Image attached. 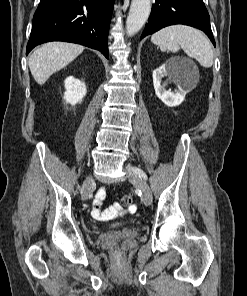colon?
I'll use <instances>...</instances> for the list:
<instances>
[{"instance_id":"5ec220e1","label":"colon","mask_w":247,"mask_h":296,"mask_svg":"<svg viewBox=\"0 0 247 296\" xmlns=\"http://www.w3.org/2000/svg\"><path fill=\"white\" fill-rule=\"evenodd\" d=\"M132 201H133V198L130 194L124 195L120 200V204H117L115 207H113L112 211L107 213L105 217L110 218L117 215L119 213L120 207H128L132 204ZM132 209L134 210L135 207H133ZM114 252L116 253L117 251L114 249Z\"/></svg>"}]
</instances>
